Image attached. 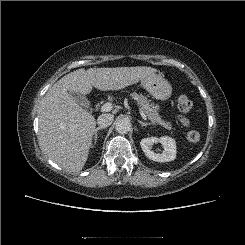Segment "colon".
<instances>
[{"label":"colon","mask_w":245,"mask_h":245,"mask_svg":"<svg viewBox=\"0 0 245 245\" xmlns=\"http://www.w3.org/2000/svg\"><path fill=\"white\" fill-rule=\"evenodd\" d=\"M192 101L190 100V98L186 95V94H181L178 98V108L180 111L182 112H189L192 109ZM200 133L195 130L192 129L190 131H188L186 138L189 142L191 143H196L200 140Z\"/></svg>","instance_id":"obj_1"}]
</instances>
